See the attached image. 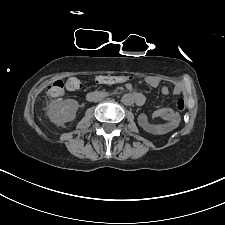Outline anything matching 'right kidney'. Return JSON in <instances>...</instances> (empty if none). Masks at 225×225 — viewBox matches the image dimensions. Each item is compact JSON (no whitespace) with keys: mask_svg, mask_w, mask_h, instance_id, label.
Masks as SVG:
<instances>
[{"mask_svg":"<svg viewBox=\"0 0 225 225\" xmlns=\"http://www.w3.org/2000/svg\"><path fill=\"white\" fill-rule=\"evenodd\" d=\"M78 102L74 99H56L49 104L48 116L54 124L64 126L75 119Z\"/></svg>","mask_w":225,"mask_h":225,"instance_id":"ca27d5eb","label":"right kidney"}]
</instances>
